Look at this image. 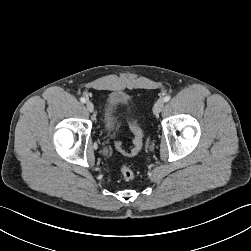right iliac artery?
Masks as SVG:
<instances>
[{
  "instance_id": "obj_1",
  "label": "right iliac artery",
  "mask_w": 251,
  "mask_h": 251,
  "mask_svg": "<svg viewBox=\"0 0 251 251\" xmlns=\"http://www.w3.org/2000/svg\"><path fill=\"white\" fill-rule=\"evenodd\" d=\"M80 101H81L82 103H85V102H86V99H85L84 97H82V98H80Z\"/></svg>"
}]
</instances>
